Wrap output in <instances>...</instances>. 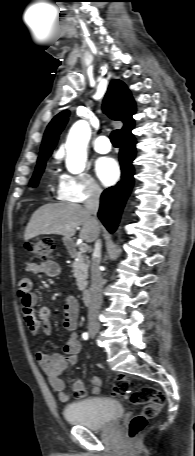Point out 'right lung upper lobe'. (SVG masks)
Returning a JSON list of instances; mask_svg holds the SVG:
<instances>
[{
	"mask_svg": "<svg viewBox=\"0 0 195 456\" xmlns=\"http://www.w3.org/2000/svg\"><path fill=\"white\" fill-rule=\"evenodd\" d=\"M103 110L110 118L124 123L121 129L122 136L131 133L134 127L132 115L135 113V102L122 81L117 79L111 81L103 101ZM68 116L69 111H63L52 119L45 131L38 160L51 155Z\"/></svg>",
	"mask_w": 195,
	"mask_h": 456,
	"instance_id": "obj_1",
	"label": "right lung upper lobe"
}]
</instances>
